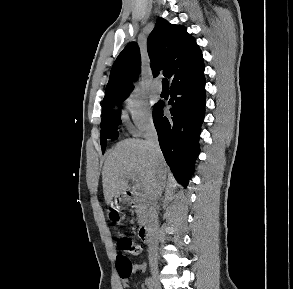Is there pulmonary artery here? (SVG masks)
Listing matches in <instances>:
<instances>
[{
    "label": "pulmonary artery",
    "instance_id": "pulmonary-artery-1",
    "mask_svg": "<svg viewBox=\"0 0 293 289\" xmlns=\"http://www.w3.org/2000/svg\"><path fill=\"white\" fill-rule=\"evenodd\" d=\"M153 89L157 93L162 92V84H161L160 80L156 79L153 81Z\"/></svg>",
    "mask_w": 293,
    "mask_h": 289
}]
</instances>
